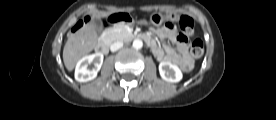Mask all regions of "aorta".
Segmentation results:
<instances>
[{"instance_id":"aorta-1","label":"aorta","mask_w":276,"mask_h":120,"mask_svg":"<svg viewBox=\"0 0 276 120\" xmlns=\"http://www.w3.org/2000/svg\"><path fill=\"white\" fill-rule=\"evenodd\" d=\"M142 46H143L142 40H140V39H135V40L133 41V47H134L135 49H141Z\"/></svg>"}]
</instances>
